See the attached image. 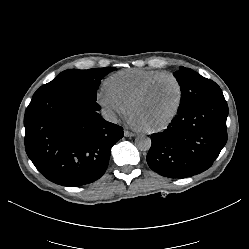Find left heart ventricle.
I'll return each instance as SVG.
<instances>
[{
	"mask_svg": "<svg viewBox=\"0 0 249 249\" xmlns=\"http://www.w3.org/2000/svg\"><path fill=\"white\" fill-rule=\"evenodd\" d=\"M179 91L171 78L156 81L148 92L132 107L145 128L154 127L165 121L175 110Z\"/></svg>",
	"mask_w": 249,
	"mask_h": 249,
	"instance_id": "left-heart-ventricle-1",
	"label": "left heart ventricle"
}]
</instances>
